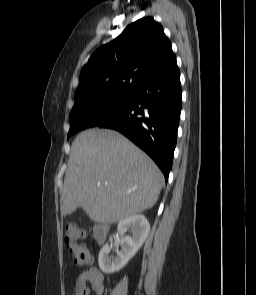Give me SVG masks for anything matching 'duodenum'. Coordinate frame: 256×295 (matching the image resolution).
<instances>
[{"label":"duodenum","instance_id":"duodenum-1","mask_svg":"<svg viewBox=\"0 0 256 295\" xmlns=\"http://www.w3.org/2000/svg\"><path fill=\"white\" fill-rule=\"evenodd\" d=\"M108 233L109 227L104 223H98L93 226V235L98 243H103L106 240Z\"/></svg>","mask_w":256,"mask_h":295}]
</instances>
